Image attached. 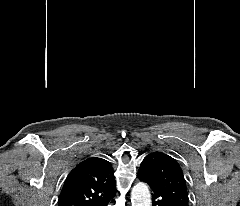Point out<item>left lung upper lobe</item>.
<instances>
[{
    "label": "left lung upper lobe",
    "instance_id": "1",
    "mask_svg": "<svg viewBox=\"0 0 240 206\" xmlns=\"http://www.w3.org/2000/svg\"><path fill=\"white\" fill-rule=\"evenodd\" d=\"M143 170L152 186L159 190L173 206H189L183 172L177 161L162 152H153L142 161Z\"/></svg>",
    "mask_w": 240,
    "mask_h": 206
}]
</instances>
